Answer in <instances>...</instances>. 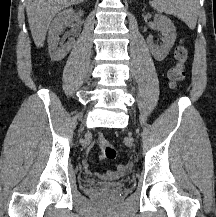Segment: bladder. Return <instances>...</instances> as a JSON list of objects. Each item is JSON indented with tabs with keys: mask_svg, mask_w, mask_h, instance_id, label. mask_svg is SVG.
Returning <instances> with one entry per match:
<instances>
[{
	"mask_svg": "<svg viewBox=\"0 0 216 217\" xmlns=\"http://www.w3.org/2000/svg\"><path fill=\"white\" fill-rule=\"evenodd\" d=\"M124 186L123 183H116L113 185L106 186V189H121Z\"/></svg>",
	"mask_w": 216,
	"mask_h": 217,
	"instance_id": "bladder-1",
	"label": "bladder"
}]
</instances>
